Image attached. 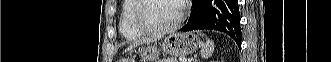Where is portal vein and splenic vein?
<instances>
[{
  "instance_id": "obj_1",
  "label": "portal vein and splenic vein",
  "mask_w": 331,
  "mask_h": 62,
  "mask_svg": "<svg viewBox=\"0 0 331 62\" xmlns=\"http://www.w3.org/2000/svg\"><path fill=\"white\" fill-rule=\"evenodd\" d=\"M185 60H183V59H180V62H184Z\"/></svg>"
}]
</instances>
